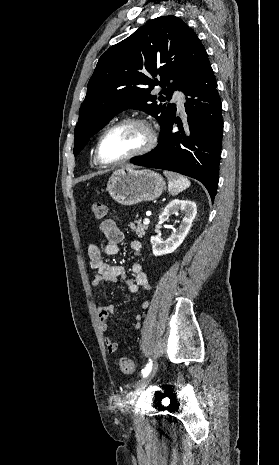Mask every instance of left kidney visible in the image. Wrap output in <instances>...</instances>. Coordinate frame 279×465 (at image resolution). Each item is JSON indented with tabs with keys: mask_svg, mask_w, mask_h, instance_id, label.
I'll return each instance as SVG.
<instances>
[{
	"mask_svg": "<svg viewBox=\"0 0 279 465\" xmlns=\"http://www.w3.org/2000/svg\"><path fill=\"white\" fill-rule=\"evenodd\" d=\"M182 211L185 215L177 230L165 241L151 236L152 252L155 256L173 253L184 241L197 214L195 202L190 200H172L159 216L160 222H169L170 216Z\"/></svg>",
	"mask_w": 279,
	"mask_h": 465,
	"instance_id": "1",
	"label": "left kidney"
}]
</instances>
